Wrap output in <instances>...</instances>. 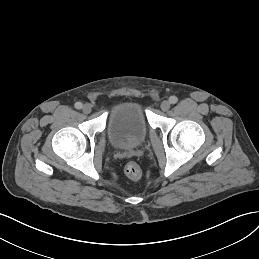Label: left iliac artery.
Returning a JSON list of instances; mask_svg holds the SVG:
<instances>
[{
  "label": "left iliac artery",
  "instance_id": "1",
  "mask_svg": "<svg viewBox=\"0 0 259 259\" xmlns=\"http://www.w3.org/2000/svg\"><path fill=\"white\" fill-rule=\"evenodd\" d=\"M169 102H170L171 104H175V103L178 102V98H177L176 96H171V97L169 98Z\"/></svg>",
  "mask_w": 259,
  "mask_h": 259
}]
</instances>
